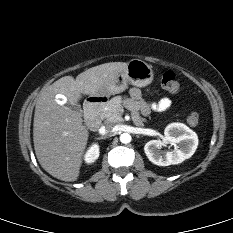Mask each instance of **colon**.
Wrapping results in <instances>:
<instances>
[{
    "label": "colon",
    "instance_id": "colon-1",
    "mask_svg": "<svg viewBox=\"0 0 233 233\" xmlns=\"http://www.w3.org/2000/svg\"><path fill=\"white\" fill-rule=\"evenodd\" d=\"M160 83L170 93H177L180 89V84L172 71L165 72L160 78ZM187 122L191 126H196L199 123V114L197 112L190 113Z\"/></svg>",
    "mask_w": 233,
    "mask_h": 233
}]
</instances>
